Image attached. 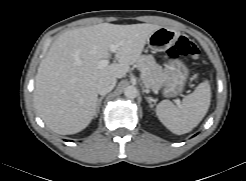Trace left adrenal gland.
Returning <instances> with one entry per match:
<instances>
[{
    "mask_svg": "<svg viewBox=\"0 0 246 181\" xmlns=\"http://www.w3.org/2000/svg\"><path fill=\"white\" fill-rule=\"evenodd\" d=\"M145 98L147 99V101H148V103H149L150 107L152 108V107H153V104H152V102H151L150 98H149V97H145Z\"/></svg>",
    "mask_w": 246,
    "mask_h": 181,
    "instance_id": "obj_1",
    "label": "left adrenal gland"
}]
</instances>
